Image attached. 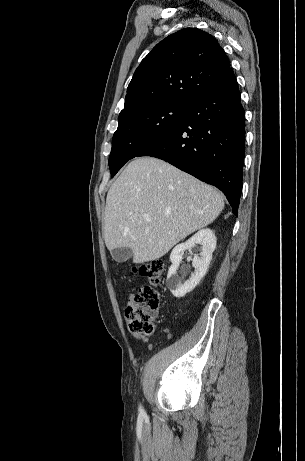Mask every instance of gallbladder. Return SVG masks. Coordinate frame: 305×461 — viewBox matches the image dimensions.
<instances>
[{
	"instance_id": "gallbladder-1",
	"label": "gallbladder",
	"mask_w": 305,
	"mask_h": 461,
	"mask_svg": "<svg viewBox=\"0 0 305 461\" xmlns=\"http://www.w3.org/2000/svg\"><path fill=\"white\" fill-rule=\"evenodd\" d=\"M112 258L118 262H125L132 256V250L127 247L116 248L111 251Z\"/></svg>"
}]
</instances>
